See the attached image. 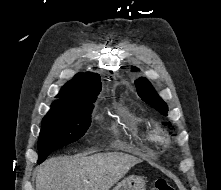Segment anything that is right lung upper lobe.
I'll return each instance as SVG.
<instances>
[{
    "label": "right lung upper lobe",
    "mask_w": 221,
    "mask_h": 190,
    "mask_svg": "<svg viewBox=\"0 0 221 190\" xmlns=\"http://www.w3.org/2000/svg\"><path fill=\"white\" fill-rule=\"evenodd\" d=\"M101 80L96 73H78L65 84L56 96L51 109H66L90 100H96L101 91Z\"/></svg>",
    "instance_id": "cb5924a9"
}]
</instances>
